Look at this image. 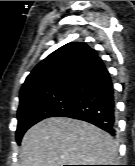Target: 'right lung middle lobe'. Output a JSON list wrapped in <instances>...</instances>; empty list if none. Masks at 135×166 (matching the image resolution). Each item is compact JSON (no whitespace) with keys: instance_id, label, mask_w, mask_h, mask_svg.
I'll list each match as a JSON object with an SVG mask.
<instances>
[{"instance_id":"obj_1","label":"right lung middle lobe","mask_w":135,"mask_h":166,"mask_svg":"<svg viewBox=\"0 0 135 166\" xmlns=\"http://www.w3.org/2000/svg\"><path fill=\"white\" fill-rule=\"evenodd\" d=\"M73 97L70 86L59 88L51 94L19 105L16 140L19 144L24 133L37 122L53 117L58 111L65 109Z\"/></svg>"}]
</instances>
